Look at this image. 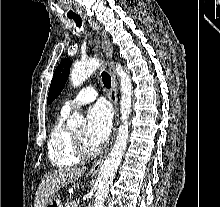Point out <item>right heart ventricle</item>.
<instances>
[{
  "label": "right heart ventricle",
  "instance_id": "1",
  "mask_svg": "<svg viewBox=\"0 0 220 207\" xmlns=\"http://www.w3.org/2000/svg\"><path fill=\"white\" fill-rule=\"evenodd\" d=\"M66 116L67 113L64 112L58 116L47 142L49 160L58 168L72 167L80 162L72 149L71 132L65 126Z\"/></svg>",
  "mask_w": 220,
  "mask_h": 207
}]
</instances>
